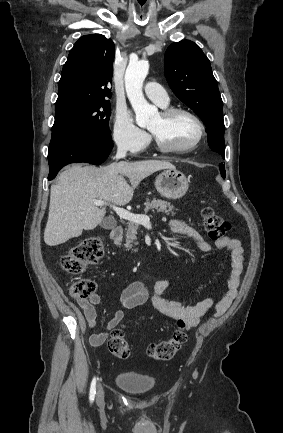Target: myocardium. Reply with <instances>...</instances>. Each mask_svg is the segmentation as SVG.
Returning <instances> with one entry per match:
<instances>
[{
  "label": "myocardium",
  "mask_w": 283,
  "mask_h": 433,
  "mask_svg": "<svg viewBox=\"0 0 283 433\" xmlns=\"http://www.w3.org/2000/svg\"><path fill=\"white\" fill-rule=\"evenodd\" d=\"M179 114H186L189 115L191 118L195 120L198 126V135L192 141L190 144H188L185 147L182 148H176L173 147L171 144L167 143L166 141L162 140L160 137L155 135L156 140V149L158 152H160L163 155L167 156H175V155H183L187 154L194 149H196L199 144L203 141L205 135H206V125L202 118L193 110L185 108V107H169L161 111L160 115L162 118V121L167 124L169 123L174 117H176Z\"/></svg>",
  "instance_id": "1"
}]
</instances>
